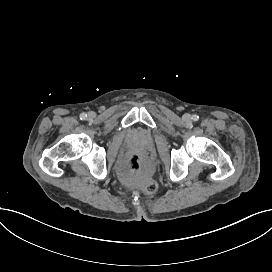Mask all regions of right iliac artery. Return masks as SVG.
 I'll return each mask as SVG.
<instances>
[{"label": "right iliac artery", "instance_id": "right-iliac-artery-1", "mask_svg": "<svg viewBox=\"0 0 272 272\" xmlns=\"http://www.w3.org/2000/svg\"><path fill=\"white\" fill-rule=\"evenodd\" d=\"M86 117H87V114H86V113H81V114H80V119H81V120H85Z\"/></svg>", "mask_w": 272, "mask_h": 272}]
</instances>
